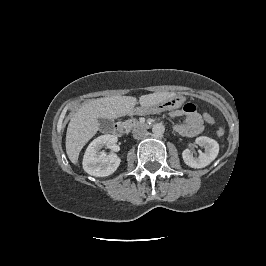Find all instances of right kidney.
Instances as JSON below:
<instances>
[{
	"instance_id": "obj_1",
	"label": "right kidney",
	"mask_w": 266,
	"mask_h": 266,
	"mask_svg": "<svg viewBox=\"0 0 266 266\" xmlns=\"http://www.w3.org/2000/svg\"><path fill=\"white\" fill-rule=\"evenodd\" d=\"M117 142L115 135L105 134L94 139L86 149L83 158V169L95 177L113 174L120 165L121 159L114 153L100 151L103 147L112 148Z\"/></svg>"
}]
</instances>
